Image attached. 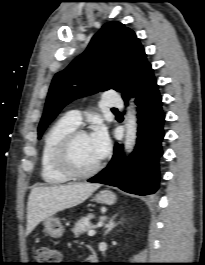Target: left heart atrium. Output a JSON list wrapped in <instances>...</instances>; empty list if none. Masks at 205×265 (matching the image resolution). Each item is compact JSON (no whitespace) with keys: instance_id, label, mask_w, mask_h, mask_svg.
Instances as JSON below:
<instances>
[{"instance_id":"left-heart-atrium-1","label":"left heart atrium","mask_w":205,"mask_h":265,"mask_svg":"<svg viewBox=\"0 0 205 265\" xmlns=\"http://www.w3.org/2000/svg\"><path fill=\"white\" fill-rule=\"evenodd\" d=\"M89 137L98 159L101 160L107 155L110 148L106 129L103 126H97Z\"/></svg>"}]
</instances>
